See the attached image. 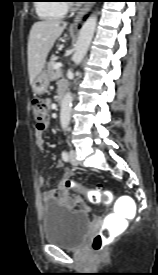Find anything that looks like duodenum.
Returning a JSON list of instances; mask_svg holds the SVG:
<instances>
[{"label":"duodenum","mask_w":158,"mask_h":275,"mask_svg":"<svg viewBox=\"0 0 158 275\" xmlns=\"http://www.w3.org/2000/svg\"><path fill=\"white\" fill-rule=\"evenodd\" d=\"M66 92H67V87H62L59 89L58 99H59L60 104L63 103Z\"/></svg>","instance_id":"duodenum-1"}]
</instances>
